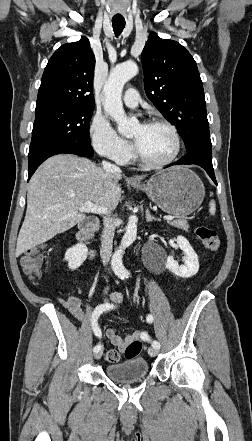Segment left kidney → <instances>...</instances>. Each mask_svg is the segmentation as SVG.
I'll return each mask as SVG.
<instances>
[{
	"label": "left kidney",
	"instance_id": "1",
	"mask_svg": "<svg viewBox=\"0 0 252 441\" xmlns=\"http://www.w3.org/2000/svg\"><path fill=\"white\" fill-rule=\"evenodd\" d=\"M177 245L185 254L183 258L184 265L179 266L172 256H168L166 267L172 273L182 278H189L196 275L199 270V262L198 256L192 246L184 236L177 237Z\"/></svg>",
	"mask_w": 252,
	"mask_h": 441
}]
</instances>
